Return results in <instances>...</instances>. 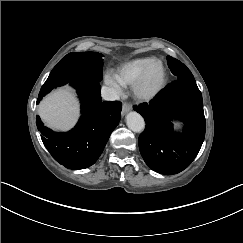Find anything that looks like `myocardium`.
Returning a JSON list of instances; mask_svg holds the SVG:
<instances>
[{
  "label": "myocardium",
  "instance_id": "obj_1",
  "mask_svg": "<svg viewBox=\"0 0 243 243\" xmlns=\"http://www.w3.org/2000/svg\"><path fill=\"white\" fill-rule=\"evenodd\" d=\"M158 64L162 69V79L161 82L154 88H148L147 84L151 78L153 72V66ZM169 82V72L165 64L157 60L156 63L148 66L140 79L132 88V94L136 100L139 102H150L156 99L167 87Z\"/></svg>",
  "mask_w": 243,
  "mask_h": 243
}]
</instances>
